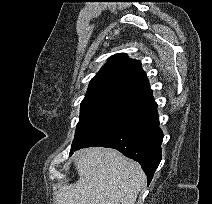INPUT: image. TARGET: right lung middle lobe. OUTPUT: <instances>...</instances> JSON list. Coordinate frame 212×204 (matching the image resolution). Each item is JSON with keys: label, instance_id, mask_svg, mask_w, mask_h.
Returning a JSON list of instances; mask_svg holds the SVG:
<instances>
[{"label": "right lung middle lobe", "instance_id": "right-lung-middle-lobe-1", "mask_svg": "<svg viewBox=\"0 0 212 204\" xmlns=\"http://www.w3.org/2000/svg\"><path fill=\"white\" fill-rule=\"evenodd\" d=\"M145 105L103 99L81 104L71 151L99 143L126 126Z\"/></svg>", "mask_w": 212, "mask_h": 204}]
</instances>
